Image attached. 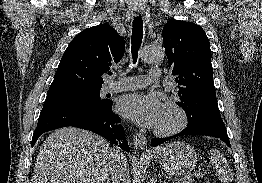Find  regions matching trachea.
I'll return each instance as SVG.
<instances>
[{
  "mask_svg": "<svg viewBox=\"0 0 262 183\" xmlns=\"http://www.w3.org/2000/svg\"><path fill=\"white\" fill-rule=\"evenodd\" d=\"M143 39V20L141 16L134 18L133 28H132V38H131V53L133 58V63L137 62L138 51L140 49ZM112 74L111 72L109 73Z\"/></svg>",
  "mask_w": 262,
  "mask_h": 183,
  "instance_id": "3493384b",
  "label": "trachea"
}]
</instances>
